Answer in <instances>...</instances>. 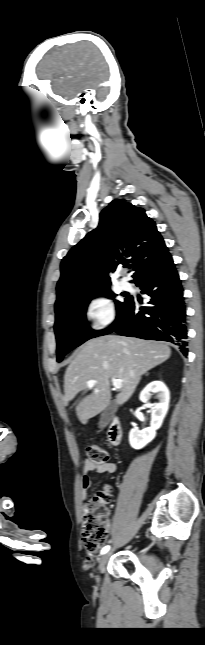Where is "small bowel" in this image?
Instances as JSON below:
<instances>
[{"label": "small bowel", "mask_w": 205, "mask_h": 645, "mask_svg": "<svg viewBox=\"0 0 205 645\" xmlns=\"http://www.w3.org/2000/svg\"><path fill=\"white\" fill-rule=\"evenodd\" d=\"M116 471V464L107 462L103 465H94L88 460L84 462L83 465V474L81 478V487H82V492H83V497L85 498L87 495L88 489L92 485V480L89 476L90 473H98V474H112ZM94 559V555L90 554L87 557L86 562L90 563Z\"/></svg>", "instance_id": "1"}]
</instances>
